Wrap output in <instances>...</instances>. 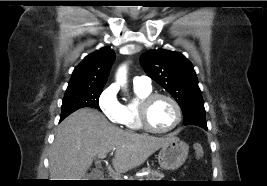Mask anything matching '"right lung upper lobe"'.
I'll return each mask as SVG.
<instances>
[{
    "label": "right lung upper lobe",
    "mask_w": 267,
    "mask_h": 186,
    "mask_svg": "<svg viewBox=\"0 0 267 186\" xmlns=\"http://www.w3.org/2000/svg\"><path fill=\"white\" fill-rule=\"evenodd\" d=\"M114 59L115 53L108 47L89 54L74 69L67 90L83 88L103 89Z\"/></svg>",
    "instance_id": "1"
}]
</instances>
